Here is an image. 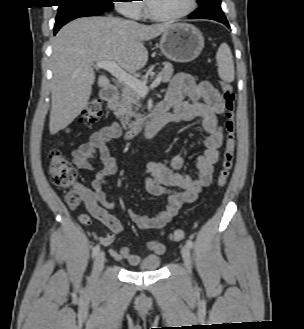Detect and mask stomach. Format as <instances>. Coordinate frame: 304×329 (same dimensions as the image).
<instances>
[{"instance_id": "stomach-1", "label": "stomach", "mask_w": 304, "mask_h": 329, "mask_svg": "<svg viewBox=\"0 0 304 329\" xmlns=\"http://www.w3.org/2000/svg\"><path fill=\"white\" fill-rule=\"evenodd\" d=\"M204 48V37L191 24L175 23L163 33L160 49L171 61L186 63L196 59Z\"/></svg>"}]
</instances>
